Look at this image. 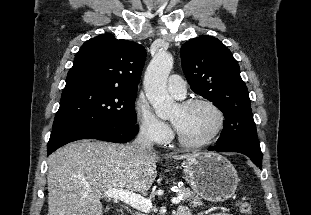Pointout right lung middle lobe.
<instances>
[{
  "instance_id": "dd1d6c3e",
  "label": "right lung middle lobe",
  "mask_w": 311,
  "mask_h": 215,
  "mask_svg": "<svg viewBox=\"0 0 311 215\" xmlns=\"http://www.w3.org/2000/svg\"><path fill=\"white\" fill-rule=\"evenodd\" d=\"M136 91L75 84L62 92L52 130L70 126L129 128L136 125Z\"/></svg>"
}]
</instances>
